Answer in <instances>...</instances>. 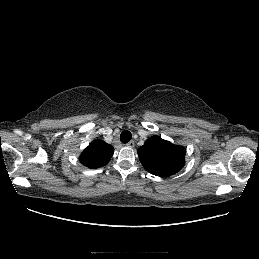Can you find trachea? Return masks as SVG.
Returning a JSON list of instances; mask_svg holds the SVG:
<instances>
[{
	"mask_svg": "<svg viewBox=\"0 0 259 259\" xmlns=\"http://www.w3.org/2000/svg\"><path fill=\"white\" fill-rule=\"evenodd\" d=\"M131 138H132V134L128 130L123 131L120 135V141L122 143H128L131 140Z\"/></svg>",
	"mask_w": 259,
	"mask_h": 259,
	"instance_id": "obj_1",
	"label": "trachea"
}]
</instances>
